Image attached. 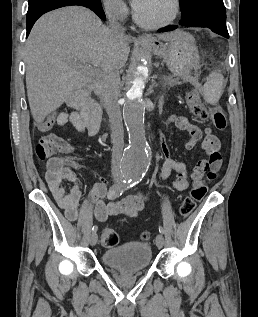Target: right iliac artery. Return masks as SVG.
<instances>
[{
  "label": "right iliac artery",
  "mask_w": 258,
  "mask_h": 317,
  "mask_svg": "<svg viewBox=\"0 0 258 317\" xmlns=\"http://www.w3.org/2000/svg\"><path fill=\"white\" fill-rule=\"evenodd\" d=\"M133 187L131 183V179L125 178L124 180H120L116 184L112 185L108 192V199L113 200L123 194L126 190ZM98 229L97 225L92 227V232L95 233Z\"/></svg>",
  "instance_id": "1"
}]
</instances>
